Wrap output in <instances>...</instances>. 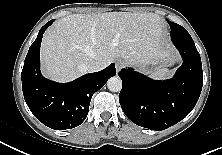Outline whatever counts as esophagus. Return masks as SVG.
<instances>
[{"instance_id":"1","label":"esophagus","mask_w":222,"mask_h":155,"mask_svg":"<svg viewBox=\"0 0 222 155\" xmlns=\"http://www.w3.org/2000/svg\"><path fill=\"white\" fill-rule=\"evenodd\" d=\"M123 66H124V63L120 60H117L115 62V67H116L117 72H119L123 68Z\"/></svg>"}]
</instances>
